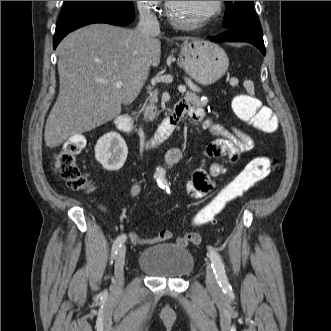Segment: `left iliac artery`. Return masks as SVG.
<instances>
[{
  "mask_svg": "<svg viewBox=\"0 0 331 331\" xmlns=\"http://www.w3.org/2000/svg\"><path fill=\"white\" fill-rule=\"evenodd\" d=\"M155 178L157 179L158 185L169 192V187L167 180L165 179L164 175L162 173H158L155 175ZM209 255L211 259V266L213 268V271L216 275L217 282L219 283L220 287H222L223 290H228L231 286L228 282L224 264L218 255V253L211 247H209Z\"/></svg>",
  "mask_w": 331,
  "mask_h": 331,
  "instance_id": "44dca946",
  "label": "left iliac artery"
}]
</instances>
